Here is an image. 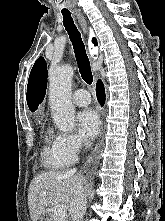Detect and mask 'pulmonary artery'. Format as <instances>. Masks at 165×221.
<instances>
[{"mask_svg":"<svg viewBox=\"0 0 165 221\" xmlns=\"http://www.w3.org/2000/svg\"><path fill=\"white\" fill-rule=\"evenodd\" d=\"M73 102L80 107L87 106L91 99L89 93L84 89H78L73 93L72 96Z\"/></svg>","mask_w":165,"mask_h":221,"instance_id":"e3ab8cb5","label":"pulmonary artery"}]
</instances>
